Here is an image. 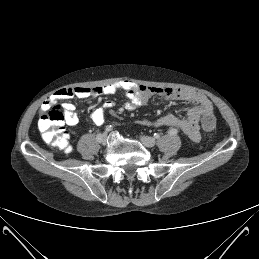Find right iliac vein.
I'll return each instance as SVG.
<instances>
[{
  "label": "right iliac vein",
  "instance_id": "1",
  "mask_svg": "<svg viewBox=\"0 0 259 259\" xmlns=\"http://www.w3.org/2000/svg\"><path fill=\"white\" fill-rule=\"evenodd\" d=\"M98 142L102 145H106L108 143V136L107 134H103L101 135L100 140H98Z\"/></svg>",
  "mask_w": 259,
  "mask_h": 259
}]
</instances>
